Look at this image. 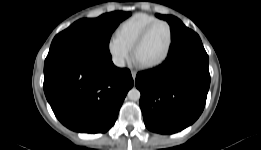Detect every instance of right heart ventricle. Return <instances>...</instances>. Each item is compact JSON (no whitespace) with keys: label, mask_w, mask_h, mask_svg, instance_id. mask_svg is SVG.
Wrapping results in <instances>:
<instances>
[{"label":"right heart ventricle","mask_w":261,"mask_h":150,"mask_svg":"<svg viewBox=\"0 0 261 150\" xmlns=\"http://www.w3.org/2000/svg\"><path fill=\"white\" fill-rule=\"evenodd\" d=\"M158 20L147 13H135L123 20L115 30V36L132 49L134 42L140 33L152 22Z\"/></svg>","instance_id":"obj_1"}]
</instances>
